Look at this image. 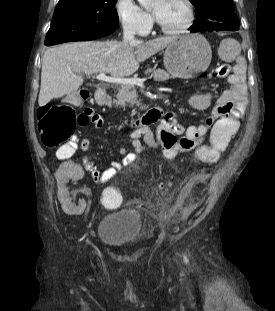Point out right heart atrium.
<instances>
[{"label": "right heart atrium", "instance_id": "right-heart-atrium-1", "mask_svg": "<svg viewBox=\"0 0 275 311\" xmlns=\"http://www.w3.org/2000/svg\"><path fill=\"white\" fill-rule=\"evenodd\" d=\"M114 11L120 26L128 32L145 35L152 28V17L135 0H115Z\"/></svg>", "mask_w": 275, "mask_h": 311}]
</instances>
